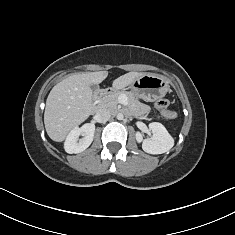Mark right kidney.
<instances>
[{
	"instance_id": "1",
	"label": "right kidney",
	"mask_w": 235,
	"mask_h": 235,
	"mask_svg": "<svg viewBox=\"0 0 235 235\" xmlns=\"http://www.w3.org/2000/svg\"><path fill=\"white\" fill-rule=\"evenodd\" d=\"M95 132V125L92 123L84 124L81 128H74L68 134L65 143L64 149L69 154H77L83 152L87 149L93 141ZM83 138L79 139V136Z\"/></svg>"
}]
</instances>
